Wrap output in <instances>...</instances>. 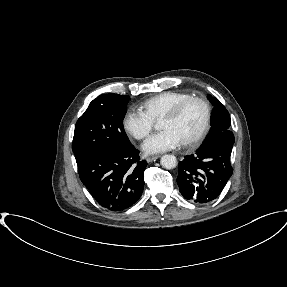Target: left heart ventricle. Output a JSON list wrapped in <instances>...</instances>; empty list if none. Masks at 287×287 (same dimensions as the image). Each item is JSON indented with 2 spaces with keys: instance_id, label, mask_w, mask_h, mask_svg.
Here are the masks:
<instances>
[{
  "instance_id": "1",
  "label": "left heart ventricle",
  "mask_w": 287,
  "mask_h": 287,
  "mask_svg": "<svg viewBox=\"0 0 287 287\" xmlns=\"http://www.w3.org/2000/svg\"><path fill=\"white\" fill-rule=\"evenodd\" d=\"M203 118V110L200 104L191 102L187 104L175 118H162L160 128L173 129L182 142L191 138L200 128Z\"/></svg>"
}]
</instances>
